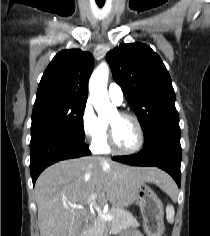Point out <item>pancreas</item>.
<instances>
[{
    "label": "pancreas",
    "instance_id": "obj_1",
    "mask_svg": "<svg viewBox=\"0 0 210 236\" xmlns=\"http://www.w3.org/2000/svg\"><path fill=\"white\" fill-rule=\"evenodd\" d=\"M112 215V219L105 218ZM139 223L133 215L120 207H112L104 217H99L88 230V236H104L108 228L117 233L128 227H138Z\"/></svg>",
    "mask_w": 210,
    "mask_h": 236
}]
</instances>
